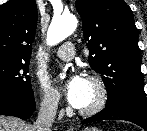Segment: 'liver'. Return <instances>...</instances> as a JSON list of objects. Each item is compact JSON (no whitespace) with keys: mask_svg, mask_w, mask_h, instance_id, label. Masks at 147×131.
Listing matches in <instances>:
<instances>
[{"mask_svg":"<svg viewBox=\"0 0 147 131\" xmlns=\"http://www.w3.org/2000/svg\"><path fill=\"white\" fill-rule=\"evenodd\" d=\"M0 131H34V127L16 117L0 116Z\"/></svg>","mask_w":147,"mask_h":131,"instance_id":"liver-1","label":"liver"}]
</instances>
